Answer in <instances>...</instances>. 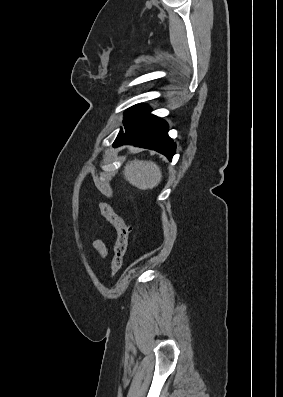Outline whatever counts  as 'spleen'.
Returning a JSON list of instances; mask_svg holds the SVG:
<instances>
[{"label": "spleen", "instance_id": "obj_1", "mask_svg": "<svg viewBox=\"0 0 283 397\" xmlns=\"http://www.w3.org/2000/svg\"><path fill=\"white\" fill-rule=\"evenodd\" d=\"M123 175L126 181L140 190L153 189L162 180L160 167L152 161H128Z\"/></svg>", "mask_w": 283, "mask_h": 397}]
</instances>
